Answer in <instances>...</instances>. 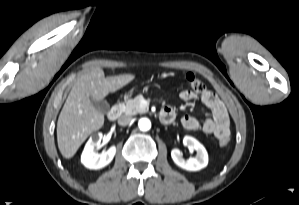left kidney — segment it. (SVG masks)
I'll use <instances>...</instances> for the list:
<instances>
[{"label":"left kidney","mask_w":299,"mask_h":205,"mask_svg":"<svg viewBox=\"0 0 299 205\" xmlns=\"http://www.w3.org/2000/svg\"><path fill=\"white\" fill-rule=\"evenodd\" d=\"M183 143L189 149L195 150L197 154L195 157L186 160L182 157L180 150L173 149L171 151V157L174 163L187 171H198L206 167L208 164V153L205 147L192 136H185Z\"/></svg>","instance_id":"1"}]
</instances>
